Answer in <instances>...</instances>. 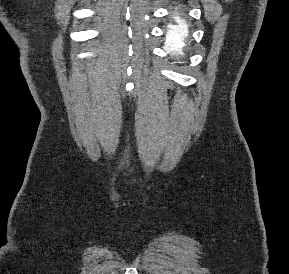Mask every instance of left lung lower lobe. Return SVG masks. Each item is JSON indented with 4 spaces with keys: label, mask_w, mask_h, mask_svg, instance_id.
<instances>
[{
    "label": "left lung lower lobe",
    "mask_w": 289,
    "mask_h": 274,
    "mask_svg": "<svg viewBox=\"0 0 289 274\" xmlns=\"http://www.w3.org/2000/svg\"><path fill=\"white\" fill-rule=\"evenodd\" d=\"M186 31L183 28H174L170 31L171 37H177L183 35Z\"/></svg>",
    "instance_id": "1"
}]
</instances>
